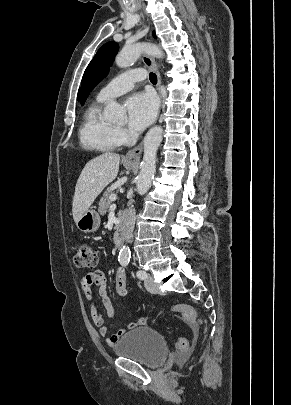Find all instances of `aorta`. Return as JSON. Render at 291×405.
Wrapping results in <instances>:
<instances>
[{
    "label": "aorta",
    "mask_w": 291,
    "mask_h": 405,
    "mask_svg": "<svg viewBox=\"0 0 291 405\" xmlns=\"http://www.w3.org/2000/svg\"><path fill=\"white\" fill-rule=\"evenodd\" d=\"M149 53L154 57L162 58V50L151 43H135L124 47L117 55L115 62L118 67L126 68L132 65L140 55ZM124 108L117 102H110L105 108V117L109 121L123 120L125 117ZM163 129L159 126L151 128L144 138V155L141 162V170L137 178V192L139 195H144L151 187L152 180L156 172V156L158 147L162 141ZM131 252L128 246H123L120 249L119 261H128Z\"/></svg>",
    "instance_id": "aorta-1"
}]
</instances>
